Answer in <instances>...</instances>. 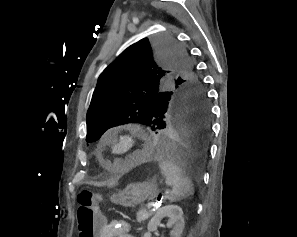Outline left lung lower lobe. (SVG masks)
Listing matches in <instances>:
<instances>
[{"label":"left lung lower lobe","instance_id":"left-lung-lower-lobe-1","mask_svg":"<svg viewBox=\"0 0 297 237\" xmlns=\"http://www.w3.org/2000/svg\"><path fill=\"white\" fill-rule=\"evenodd\" d=\"M155 133L146 145V154L184 166H199L207 154L211 136L209 104L195 100L174 103Z\"/></svg>","mask_w":297,"mask_h":237}]
</instances>
